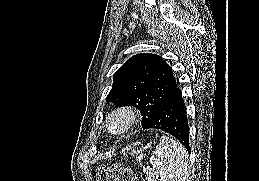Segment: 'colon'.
Wrapping results in <instances>:
<instances>
[{"label": "colon", "mask_w": 259, "mask_h": 181, "mask_svg": "<svg viewBox=\"0 0 259 181\" xmlns=\"http://www.w3.org/2000/svg\"><path fill=\"white\" fill-rule=\"evenodd\" d=\"M97 181H136L132 171L122 164L101 165L97 171Z\"/></svg>", "instance_id": "1"}]
</instances>
